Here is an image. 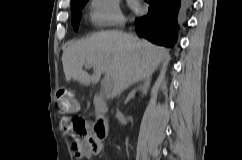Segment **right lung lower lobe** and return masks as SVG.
Returning a JSON list of instances; mask_svg holds the SVG:
<instances>
[{
  "mask_svg": "<svg viewBox=\"0 0 242 160\" xmlns=\"http://www.w3.org/2000/svg\"><path fill=\"white\" fill-rule=\"evenodd\" d=\"M149 3L148 13L135 19L138 35L167 47L176 42L177 17H182L184 10L192 0H144Z\"/></svg>",
  "mask_w": 242,
  "mask_h": 160,
  "instance_id": "right-lung-lower-lobe-1",
  "label": "right lung lower lobe"
}]
</instances>
